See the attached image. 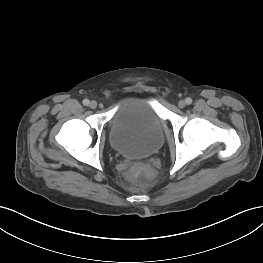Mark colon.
Here are the masks:
<instances>
[{
	"instance_id": "5ec220e1",
	"label": "colon",
	"mask_w": 263,
	"mask_h": 263,
	"mask_svg": "<svg viewBox=\"0 0 263 263\" xmlns=\"http://www.w3.org/2000/svg\"><path fill=\"white\" fill-rule=\"evenodd\" d=\"M133 172L137 175H142L145 178H152L155 174L154 170L151 167L138 164L134 167Z\"/></svg>"
}]
</instances>
